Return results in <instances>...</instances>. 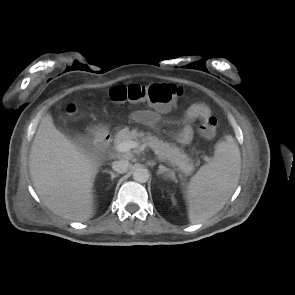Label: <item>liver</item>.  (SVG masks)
I'll return each mask as SVG.
<instances>
[{"label":"liver","mask_w":295,"mask_h":295,"mask_svg":"<svg viewBox=\"0 0 295 295\" xmlns=\"http://www.w3.org/2000/svg\"><path fill=\"white\" fill-rule=\"evenodd\" d=\"M101 164L61 133L50 114L41 118L30 148L29 172L35 191L52 212L72 221L90 219Z\"/></svg>","instance_id":"1"}]
</instances>
